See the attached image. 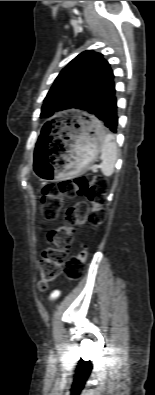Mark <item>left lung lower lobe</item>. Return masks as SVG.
Here are the masks:
<instances>
[{
  "label": "left lung lower lobe",
  "instance_id": "left-lung-lower-lobe-1",
  "mask_svg": "<svg viewBox=\"0 0 155 395\" xmlns=\"http://www.w3.org/2000/svg\"><path fill=\"white\" fill-rule=\"evenodd\" d=\"M113 72L102 81L80 104L84 110L98 118L112 132L118 125L117 99Z\"/></svg>",
  "mask_w": 155,
  "mask_h": 395
}]
</instances>
